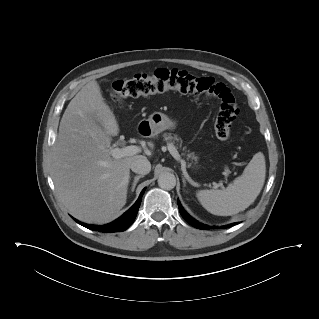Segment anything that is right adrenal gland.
Here are the masks:
<instances>
[{"mask_svg": "<svg viewBox=\"0 0 319 319\" xmlns=\"http://www.w3.org/2000/svg\"><path fill=\"white\" fill-rule=\"evenodd\" d=\"M144 177V175H138L134 177L133 183H132V187H131V192H134L135 187L139 181L140 178Z\"/></svg>", "mask_w": 319, "mask_h": 319, "instance_id": "obj_1", "label": "right adrenal gland"}]
</instances>
